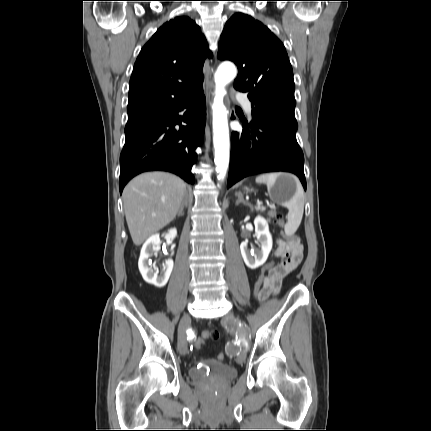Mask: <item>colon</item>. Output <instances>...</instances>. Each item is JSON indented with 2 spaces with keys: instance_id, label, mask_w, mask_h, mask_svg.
<instances>
[{
  "instance_id": "1",
  "label": "colon",
  "mask_w": 431,
  "mask_h": 431,
  "mask_svg": "<svg viewBox=\"0 0 431 431\" xmlns=\"http://www.w3.org/2000/svg\"><path fill=\"white\" fill-rule=\"evenodd\" d=\"M273 217L275 218L277 224L280 226V236L281 237H285V232H284V220L283 218L278 215L277 213H273ZM296 236H292V240L295 238ZM289 238L285 237V242H288ZM275 260H270L269 263H265V266H261L260 267V274H258L256 281H254V283L252 284V289L255 290L254 292H252V300L254 301V303L256 304L258 302V300L260 299V296L258 295V291H260L263 288L264 285V274L262 273H266L267 272V268H271L273 265H275ZM202 338L200 336L194 337L193 338V343L195 344V351H200L202 349V342L203 339H217L219 337V333L216 330H204L202 332ZM225 358V355L223 353H221L219 355V359L223 360Z\"/></svg>"
}]
</instances>
